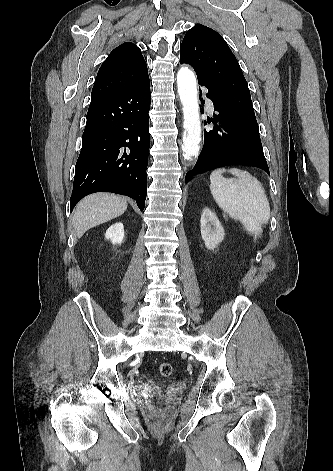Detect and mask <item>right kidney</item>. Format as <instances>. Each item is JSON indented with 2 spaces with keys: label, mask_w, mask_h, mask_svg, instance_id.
<instances>
[{
  "label": "right kidney",
  "mask_w": 333,
  "mask_h": 471,
  "mask_svg": "<svg viewBox=\"0 0 333 471\" xmlns=\"http://www.w3.org/2000/svg\"><path fill=\"white\" fill-rule=\"evenodd\" d=\"M106 239H110L113 244H121L124 238V226L121 222L111 225L105 234Z\"/></svg>",
  "instance_id": "right-kidney-1"
}]
</instances>
